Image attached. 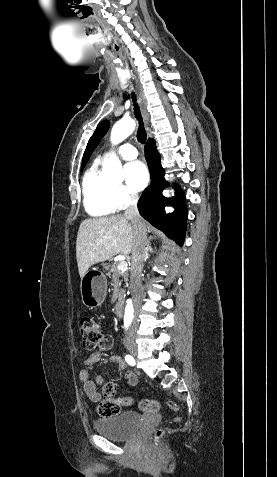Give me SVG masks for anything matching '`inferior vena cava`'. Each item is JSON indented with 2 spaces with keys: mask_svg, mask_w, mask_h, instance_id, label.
Wrapping results in <instances>:
<instances>
[{
  "mask_svg": "<svg viewBox=\"0 0 277 477\" xmlns=\"http://www.w3.org/2000/svg\"><path fill=\"white\" fill-rule=\"evenodd\" d=\"M138 195L132 194L130 196V204L125 211L124 215L130 218L135 234V244L132 250V264H131V276H130V292L133 300V306L135 309V316L127 331L126 337H133L138 328V319L136 311L140 308L142 300V284L141 273L143 269V262L146 254V231L143 226V221L138 212L137 203Z\"/></svg>",
  "mask_w": 277,
  "mask_h": 477,
  "instance_id": "obj_1",
  "label": "inferior vena cava"
}]
</instances>
